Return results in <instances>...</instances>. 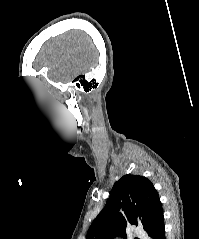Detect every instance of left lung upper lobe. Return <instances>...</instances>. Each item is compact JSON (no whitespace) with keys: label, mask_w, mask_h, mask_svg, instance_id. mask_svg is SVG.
Masks as SVG:
<instances>
[{"label":"left lung upper lobe","mask_w":199,"mask_h":239,"mask_svg":"<svg viewBox=\"0 0 199 239\" xmlns=\"http://www.w3.org/2000/svg\"><path fill=\"white\" fill-rule=\"evenodd\" d=\"M162 203L152 182L140 175H124L117 181L109 199L91 224L86 239H111L126 236L129 224H142L147 230Z\"/></svg>","instance_id":"left-lung-upper-lobe-1"}]
</instances>
